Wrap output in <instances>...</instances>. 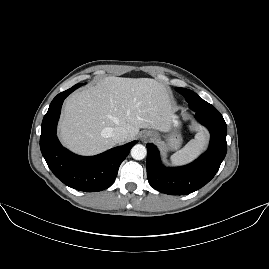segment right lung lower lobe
<instances>
[{
    "instance_id": "98d812e1",
    "label": "right lung lower lobe",
    "mask_w": 269,
    "mask_h": 269,
    "mask_svg": "<svg viewBox=\"0 0 269 269\" xmlns=\"http://www.w3.org/2000/svg\"><path fill=\"white\" fill-rule=\"evenodd\" d=\"M81 85L83 83L59 93L51 102L42 121L40 148L49 168L64 184L80 191L96 192L112 185L120 164L136 141L92 157L78 156L62 147L56 136L61 106L64 99Z\"/></svg>"
}]
</instances>
